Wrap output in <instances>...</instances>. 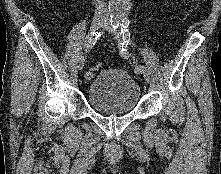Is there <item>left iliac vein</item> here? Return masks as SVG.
Here are the masks:
<instances>
[{"instance_id":"left-iliac-vein-1","label":"left iliac vein","mask_w":221,"mask_h":174,"mask_svg":"<svg viewBox=\"0 0 221 174\" xmlns=\"http://www.w3.org/2000/svg\"><path fill=\"white\" fill-rule=\"evenodd\" d=\"M103 28L105 30H107L108 32H111V33H114L117 38L120 39V36L119 34L117 33V31L115 29H113L112 25L110 24V21L109 20H105V23L103 25ZM141 73L145 79V81L148 83L150 81V74H149V71L147 70V68L145 66H142L141 68Z\"/></svg>"}]
</instances>
